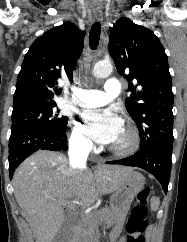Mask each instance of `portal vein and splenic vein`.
Wrapping results in <instances>:
<instances>
[{"instance_id": "obj_1", "label": "portal vein and splenic vein", "mask_w": 187, "mask_h": 242, "mask_svg": "<svg viewBox=\"0 0 187 242\" xmlns=\"http://www.w3.org/2000/svg\"><path fill=\"white\" fill-rule=\"evenodd\" d=\"M73 203H77V204H78V202H77V201H73Z\"/></svg>"}]
</instances>
